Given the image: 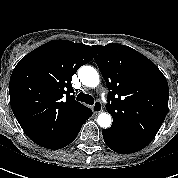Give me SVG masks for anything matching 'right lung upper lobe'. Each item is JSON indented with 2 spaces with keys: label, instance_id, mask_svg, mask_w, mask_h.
<instances>
[{
  "label": "right lung upper lobe",
  "instance_id": "1",
  "mask_svg": "<svg viewBox=\"0 0 178 178\" xmlns=\"http://www.w3.org/2000/svg\"><path fill=\"white\" fill-rule=\"evenodd\" d=\"M93 59L82 43L52 40L28 53L9 82L12 111L26 135L45 147L70 138L91 109L75 101L71 78Z\"/></svg>",
  "mask_w": 178,
  "mask_h": 178
}]
</instances>
